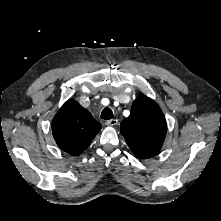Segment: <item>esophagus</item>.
I'll use <instances>...</instances> for the list:
<instances>
[{
    "label": "esophagus",
    "mask_w": 221,
    "mask_h": 221,
    "mask_svg": "<svg viewBox=\"0 0 221 221\" xmlns=\"http://www.w3.org/2000/svg\"><path fill=\"white\" fill-rule=\"evenodd\" d=\"M117 124H118L117 119H111V120L106 121V125H108V126H115Z\"/></svg>",
    "instance_id": "esophagus-1"
}]
</instances>
